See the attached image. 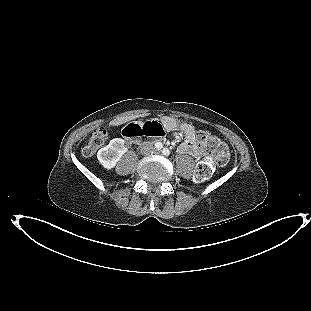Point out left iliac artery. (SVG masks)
Listing matches in <instances>:
<instances>
[{
  "label": "left iliac artery",
  "instance_id": "obj_1",
  "mask_svg": "<svg viewBox=\"0 0 311 311\" xmlns=\"http://www.w3.org/2000/svg\"><path fill=\"white\" fill-rule=\"evenodd\" d=\"M162 153H163L164 155L168 156V155L170 154V151H169L168 148H164V149L162 150Z\"/></svg>",
  "mask_w": 311,
  "mask_h": 311
}]
</instances>
